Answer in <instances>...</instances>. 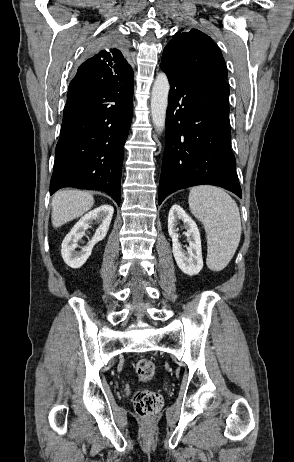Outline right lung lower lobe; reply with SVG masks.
Masks as SVG:
<instances>
[{
	"mask_svg": "<svg viewBox=\"0 0 294 462\" xmlns=\"http://www.w3.org/2000/svg\"><path fill=\"white\" fill-rule=\"evenodd\" d=\"M133 75L112 87L67 94L50 182L107 192L120 205L124 144L132 121Z\"/></svg>",
	"mask_w": 294,
	"mask_h": 462,
	"instance_id": "1",
	"label": "right lung lower lobe"
}]
</instances>
